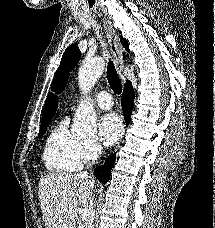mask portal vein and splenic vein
Returning <instances> with one entry per match:
<instances>
[{
    "mask_svg": "<svg viewBox=\"0 0 215 228\" xmlns=\"http://www.w3.org/2000/svg\"><path fill=\"white\" fill-rule=\"evenodd\" d=\"M79 214H80V220H82V222H86V220H89L90 218L89 210H81Z\"/></svg>",
    "mask_w": 215,
    "mask_h": 228,
    "instance_id": "obj_1",
    "label": "portal vein and splenic vein"
}]
</instances>
